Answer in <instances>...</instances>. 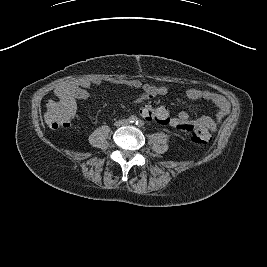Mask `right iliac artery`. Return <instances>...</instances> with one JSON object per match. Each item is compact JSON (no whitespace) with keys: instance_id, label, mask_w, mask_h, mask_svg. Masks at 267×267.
Instances as JSON below:
<instances>
[{"instance_id":"obj_1","label":"right iliac artery","mask_w":267,"mask_h":267,"mask_svg":"<svg viewBox=\"0 0 267 267\" xmlns=\"http://www.w3.org/2000/svg\"><path fill=\"white\" fill-rule=\"evenodd\" d=\"M128 120L130 123H136L138 121L136 116H131Z\"/></svg>"}]
</instances>
